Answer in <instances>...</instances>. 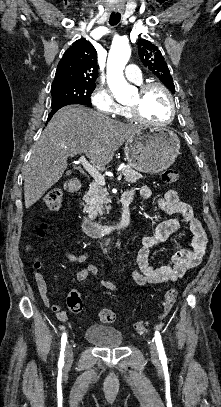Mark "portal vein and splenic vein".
Here are the masks:
<instances>
[{
	"mask_svg": "<svg viewBox=\"0 0 221 407\" xmlns=\"http://www.w3.org/2000/svg\"><path fill=\"white\" fill-rule=\"evenodd\" d=\"M79 163L83 166V168L90 174L91 177L95 180L96 183L105 185V178L104 176L93 166L84 155L79 158ZM122 179V175L117 176L116 180L120 181Z\"/></svg>",
	"mask_w": 221,
	"mask_h": 407,
	"instance_id": "1",
	"label": "portal vein and splenic vein"
}]
</instances>
